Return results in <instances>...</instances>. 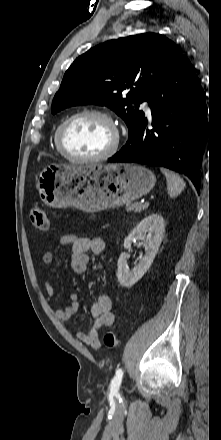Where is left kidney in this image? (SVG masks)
I'll use <instances>...</instances> for the list:
<instances>
[{"mask_svg":"<svg viewBox=\"0 0 221 440\" xmlns=\"http://www.w3.org/2000/svg\"><path fill=\"white\" fill-rule=\"evenodd\" d=\"M165 222L160 214H151L139 222L124 240V248L130 249L135 240L143 241L145 255L131 271L128 268L127 253H121L118 260L117 279L121 286L131 287L138 282L150 268L163 239Z\"/></svg>","mask_w":221,"mask_h":440,"instance_id":"1","label":"left kidney"}]
</instances>
